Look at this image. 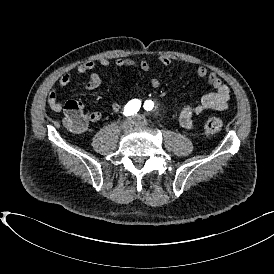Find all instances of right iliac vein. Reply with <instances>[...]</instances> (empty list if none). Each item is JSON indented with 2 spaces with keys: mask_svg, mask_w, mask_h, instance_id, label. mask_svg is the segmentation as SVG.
Masks as SVG:
<instances>
[{
  "mask_svg": "<svg viewBox=\"0 0 274 274\" xmlns=\"http://www.w3.org/2000/svg\"><path fill=\"white\" fill-rule=\"evenodd\" d=\"M135 125V119L133 118H127L121 123V129L124 131H127L131 129Z\"/></svg>",
  "mask_w": 274,
  "mask_h": 274,
  "instance_id": "obj_1",
  "label": "right iliac vein"
}]
</instances>
